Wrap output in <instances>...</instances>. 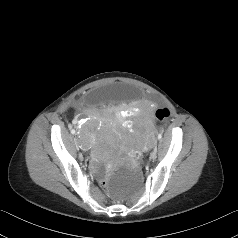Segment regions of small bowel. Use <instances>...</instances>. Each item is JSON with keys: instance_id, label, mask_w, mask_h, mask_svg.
Wrapping results in <instances>:
<instances>
[{"instance_id": "obj_1", "label": "small bowel", "mask_w": 238, "mask_h": 238, "mask_svg": "<svg viewBox=\"0 0 238 238\" xmlns=\"http://www.w3.org/2000/svg\"><path fill=\"white\" fill-rule=\"evenodd\" d=\"M146 119L149 123L152 122V119H153V112L151 109L148 110V112L146 113ZM84 120V117L83 116H78L75 120H74V123L76 125H79L82 121Z\"/></svg>"}]
</instances>
